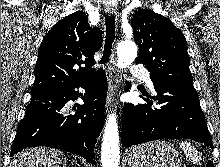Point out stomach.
Masks as SVG:
<instances>
[{"instance_id":"stomach-1","label":"stomach","mask_w":220,"mask_h":167,"mask_svg":"<svg viewBox=\"0 0 220 167\" xmlns=\"http://www.w3.org/2000/svg\"><path fill=\"white\" fill-rule=\"evenodd\" d=\"M129 167H181L178 152L166 141H154L131 148L126 154Z\"/></svg>"}]
</instances>
